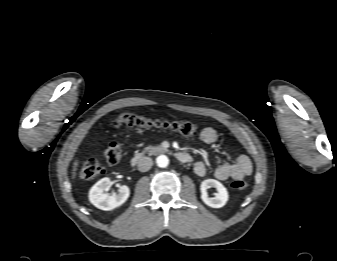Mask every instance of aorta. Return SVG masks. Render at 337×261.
<instances>
[{
  "mask_svg": "<svg viewBox=\"0 0 337 261\" xmlns=\"http://www.w3.org/2000/svg\"><path fill=\"white\" fill-rule=\"evenodd\" d=\"M156 163L159 167L165 168L169 164V159L166 155H159L156 159Z\"/></svg>",
  "mask_w": 337,
  "mask_h": 261,
  "instance_id": "1",
  "label": "aorta"
}]
</instances>
